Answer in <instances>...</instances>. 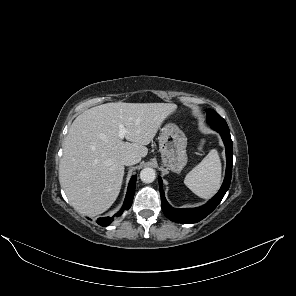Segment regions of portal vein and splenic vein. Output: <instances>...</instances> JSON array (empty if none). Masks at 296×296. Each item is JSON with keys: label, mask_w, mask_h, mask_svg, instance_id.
Here are the masks:
<instances>
[{"label": "portal vein and splenic vein", "mask_w": 296, "mask_h": 296, "mask_svg": "<svg viewBox=\"0 0 296 296\" xmlns=\"http://www.w3.org/2000/svg\"><path fill=\"white\" fill-rule=\"evenodd\" d=\"M118 127H119V133H118V136H119L120 139H124V137H125V135H126V133H127V130H126V128L124 127L123 124H119Z\"/></svg>", "instance_id": "1"}]
</instances>
